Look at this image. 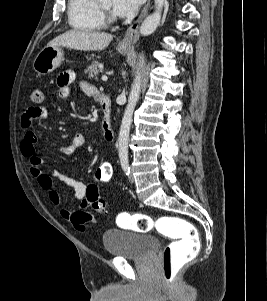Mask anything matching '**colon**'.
Here are the masks:
<instances>
[{
    "label": "colon",
    "mask_w": 267,
    "mask_h": 301,
    "mask_svg": "<svg viewBox=\"0 0 267 301\" xmlns=\"http://www.w3.org/2000/svg\"><path fill=\"white\" fill-rule=\"evenodd\" d=\"M31 101L35 104L43 102L44 94L41 89L34 87L30 91ZM113 176L112 165L101 163L93 175V181L86 187L85 200L94 210L104 212L105 201L99 194V185L107 184ZM118 223L137 232L146 233L157 231L172 239L163 250V279L170 283L178 271L190 262L198 253L199 237L195 226L180 217L163 216L153 218L144 213H121Z\"/></svg>",
    "instance_id": "5ec220e1"
}]
</instances>
